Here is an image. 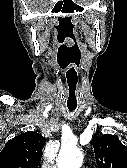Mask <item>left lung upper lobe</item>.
Instances as JSON below:
<instances>
[{
    "mask_svg": "<svg viewBox=\"0 0 127 168\" xmlns=\"http://www.w3.org/2000/svg\"><path fill=\"white\" fill-rule=\"evenodd\" d=\"M92 145L98 168H127V148L116 136H95Z\"/></svg>",
    "mask_w": 127,
    "mask_h": 168,
    "instance_id": "5c2ea615",
    "label": "left lung upper lobe"
}]
</instances>
